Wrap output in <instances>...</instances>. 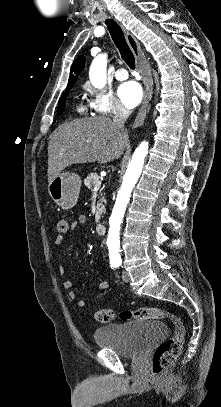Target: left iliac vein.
<instances>
[{"mask_svg":"<svg viewBox=\"0 0 221 407\" xmlns=\"http://www.w3.org/2000/svg\"><path fill=\"white\" fill-rule=\"evenodd\" d=\"M122 279L126 283L130 281V276H129L128 272H126V271L122 272Z\"/></svg>","mask_w":221,"mask_h":407,"instance_id":"4c4485c4","label":"left iliac vein"}]
</instances>
